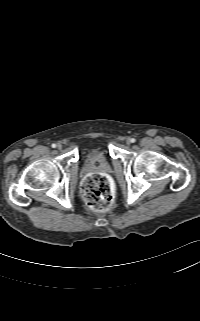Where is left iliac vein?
Here are the masks:
<instances>
[{
	"label": "left iliac vein",
	"mask_w": 200,
	"mask_h": 321,
	"mask_svg": "<svg viewBox=\"0 0 200 321\" xmlns=\"http://www.w3.org/2000/svg\"><path fill=\"white\" fill-rule=\"evenodd\" d=\"M126 143H127L128 145L131 144V139L128 138V139L126 140Z\"/></svg>",
	"instance_id": "left-iliac-vein-1"
}]
</instances>
